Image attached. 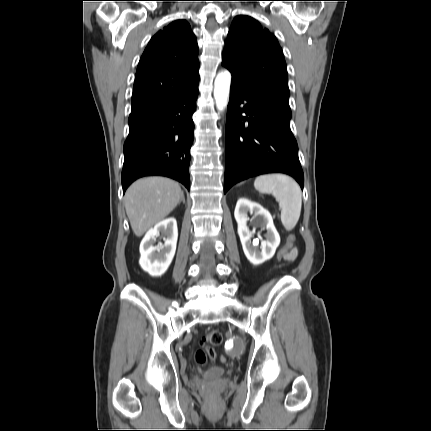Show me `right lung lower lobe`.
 I'll use <instances>...</instances> for the list:
<instances>
[{
  "mask_svg": "<svg viewBox=\"0 0 431 431\" xmlns=\"http://www.w3.org/2000/svg\"><path fill=\"white\" fill-rule=\"evenodd\" d=\"M198 93L197 81L169 101L131 112L124 143L123 193L133 181L149 175L173 178L189 190L192 115Z\"/></svg>",
  "mask_w": 431,
  "mask_h": 431,
  "instance_id": "obj_1",
  "label": "right lung lower lobe"
}]
</instances>
